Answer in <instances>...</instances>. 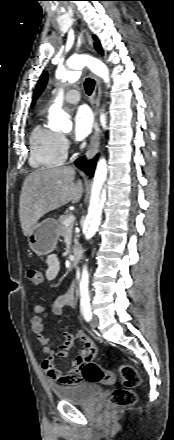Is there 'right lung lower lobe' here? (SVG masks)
Here are the masks:
<instances>
[{"label":"right lung lower lobe","instance_id":"obj_1","mask_svg":"<svg viewBox=\"0 0 174 440\" xmlns=\"http://www.w3.org/2000/svg\"><path fill=\"white\" fill-rule=\"evenodd\" d=\"M97 158L98 156L90 161H87L85 157H80L75 161V165L92 177L94 174Z\"/></svg>","mask_w":174,"mask_h":440}]
</instances>
